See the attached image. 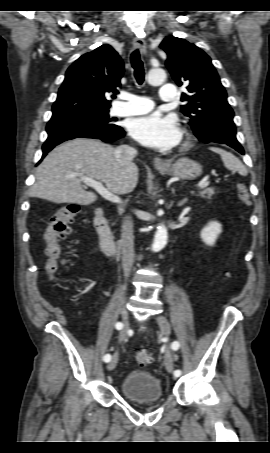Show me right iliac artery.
I'll list each match as a JSON object with an SVG mask.
<instances>
[{
  "instance_id": "obj_1",
  "label": "right iliac artery",
  "mask_w": 270,
  "mask_h": 453,
  "mask_svg": "<svg viewBox=\"0 0 270 453\" xmlns=\"http://www.w3.org/2000/svg\"><path fill=\"white\" fill-rule=\"evenodd\" d=\"M123 327V324L121 322L116 323V329L121 330ZM104 362H109L111 360V355L110 354H105L103 357Z\"/></svg>"
}]
</instances>
